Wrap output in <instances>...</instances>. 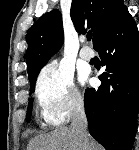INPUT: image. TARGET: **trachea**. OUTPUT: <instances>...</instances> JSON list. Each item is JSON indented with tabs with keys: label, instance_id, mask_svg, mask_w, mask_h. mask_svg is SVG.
I'll return each mask as SVG.
<instances>
[{
	"label": "trachea",
	"instance_id": "1",
	"mask_svg": "<svg viewBox=\"0 0 139 150\" xmlns=\"http://www.w3.org/2000/svg\"><path fill=\"white\" fill-rule=\"evenodd\" d=\"M92 38V34H87V40L90 41Z\"/></svg>",
	"mask_w": 139,
	"mask_h": 150
}]
</instances>
